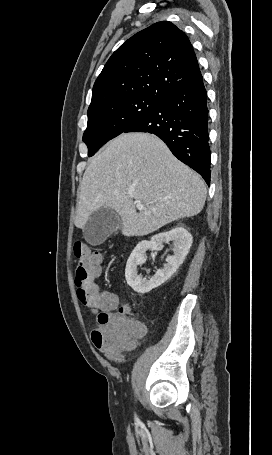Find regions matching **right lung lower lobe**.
<instances>
[{
  "label": "right lung lower lobe",
  "instance_id": "right-lung-lower-lobe-1",
  "mask_svg": "<svg viewBox=\"0 0 272 455\" xmlns=\"http://www.w3.org/2000/svg\"><path fill=\"white\" fill-rule=\"evenodd\" d=\"M124 132L155 134L210 184L207 92L202 76L165 96L156 110Z\"/></svg>",
  "mask_w": 272,
  "mask_h": 455
}]
</instances>
